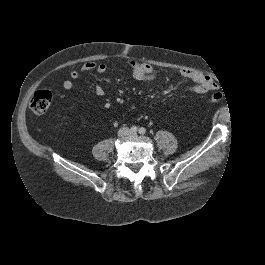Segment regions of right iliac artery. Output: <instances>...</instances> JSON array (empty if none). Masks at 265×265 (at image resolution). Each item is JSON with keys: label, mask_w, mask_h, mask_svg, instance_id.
Instances as JSON below:
<instances>
[{"label": "right iliac artery", "mask_w": 265, "mask_h": 265, "mask_svg": "<svg viewBox=\"0 0 265 265\" xmlns=\"http://www.w3.org/2000/svg\"><path fill=\"white\" fill-rule=\"evenodd\" d=\"M137 130H138V128H137L136 126H132V127L130 128V131H131V132H137Z\"/></svg>", "instance_id": "82829eb1"}]
</instances>
